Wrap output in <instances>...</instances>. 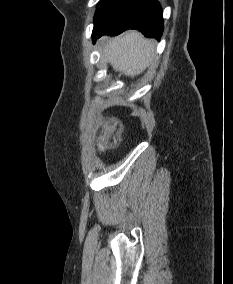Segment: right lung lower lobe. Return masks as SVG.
Here are the masks:
<instances>
[{
  "mask_svg": "<svg viewBox=\"0 0 233 284\" xmlns=\"http://www.w3.org/2000/svg\"><path fill=\"white\" fill-rule=\"evenodd\" d=\"M136 29L146 37L159 39L163 32V17L155 0H113L94 21L93 41L102 35H118Z\"/></svg>",
  "mask_w": 233,
  "mask_h": 284,
  "instance_id": "1",
  "label": "right lung lower lobe"
}]
</instances>
